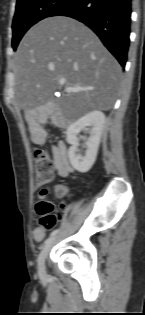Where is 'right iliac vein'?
I'll list each match as a JSON object with an SVG mask.
<instances>
[{
    "instance_id": "1",
    "label": "right iliac vein",
    "mask_w": 145,
    "mask_h": 315,
    "mask_svg": "<svg viewBox=\"0 0 145 315\" xmlns=\"http://www.w3.org/2000/svg\"><path fill=\"white\" fill-rule=\"evenodd\" d=\"M55 238L52 237L50 239H48L45 243V245L43 246L39 256H38V273L40 275V277H44L46 274V269H45V261L48 255V252L51 248V246L54 243Z\"/></svg>"
}]
</instances>
